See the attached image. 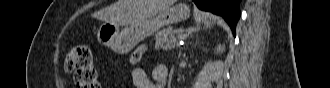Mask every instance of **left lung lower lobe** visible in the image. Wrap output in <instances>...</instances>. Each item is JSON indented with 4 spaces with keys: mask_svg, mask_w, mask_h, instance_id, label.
<instances>
[{
    "mask_svg": "<svg viewBox=\"0 0 330 88\" xmlns=\"http://www.w3.org/2000/svg\"><path fill=\"white\" fill-rule=\"evenodd\" d=\"M199 9L222 16L231 27L235 36V28L240 17V0H193Z\"/></svg>",
    "mask_w": 330,
    "mask_h": 88,
    "instance_id": "1",
    "label": "left lung lower lobe"
}]
</instances>
